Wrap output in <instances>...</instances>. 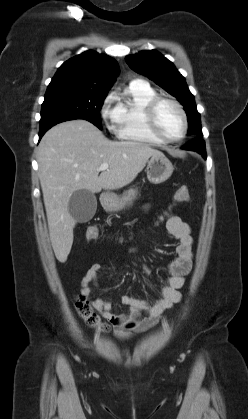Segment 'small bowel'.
<instances>
[{
	"label": "small bowel",
	"instance_id": "c3829d8e",
	"mask_svg": "<svg viewBox=\"0 0 248 419\" xmlns=\"http://www.w3.org/2000/svg\"><path fill=\"white\" fill-rule=\"evenodd\" d=\"M166 229L178 241L175 248V258L166 266L168 276L160 287V298L150 303L147 300L135 298L131 295L122 297L123 304L129 306L127 313H115L112 303L105 298H92L91 285H98V274L102 263L97 262L90 266L81 281V295L90 300L93 308L103 318L114 326V337L125 341L131 333L145 332L153 327L162 313L181 300L180 289L184 285L185 276L191 271L193 264V239L189 226L182 219L172 213H166ZM90 241L93 239L86 234ZM128 252L137 253V249L130 248ZM148 271V268H145Z\"/></svg>",
	"mask_w": 248,
	"mask_h": 419
}]
</instances>
